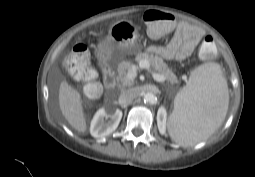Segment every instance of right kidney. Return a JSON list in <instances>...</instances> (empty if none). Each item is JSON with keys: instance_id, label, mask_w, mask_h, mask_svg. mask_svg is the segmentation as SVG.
Listing matches in <instances>:
<instances>
[{"instance_id": "obj_1", "label": "right kidney", "mask_w": 255, "mask_h": 177, "mask_svg": "<svg viewBox=\"0 0 255 177\" xmlns=\"http://www.w3.org/2000/svg\"><path fill=\"white\" fill-rule=\"evenodd\" d=\"M110 117L108 122L104 118ZM122 118V111L116 110L114 113L107 115L104 108L99 109L90 126V133L95 138H104L116 130Z\"/></svg>"}]
</instances>
